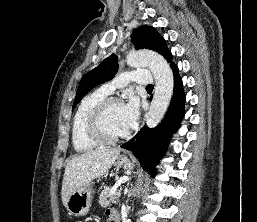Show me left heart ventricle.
<instances>
[{
	"label": "left heart ventricle",
	"mask_w": 257,
	"mask_h": 222,
	"mask_svg": "<svg viewBox=\"0 0 257 222\" xmlns=\"http://www.w3.org/2000/svg\"><path fill=\"white\" fill-rule=\"evenodd\" d=\"M122 106H112L103 118V129L108 136L117 137L125 134L123 130Z\"/></svg>",
	"instance_id": "left-heart-ventricle-1"
}]
</instances>
